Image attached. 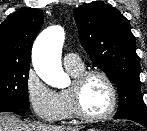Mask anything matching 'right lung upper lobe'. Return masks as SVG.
<instances>
[{
  "instance_id": "right-lung-upper-lobe-1",
  "label": "right lung upper lobe",
  "mask_w": 147,
  "mask_h": 131,
  "mask_svg": "<svg viewBox=\"0 0 147 131\" xmlns=\"http://www.w3.org/2000/svg\"><path fill=\"white\" fill-rule=\"evenodd\" d=\"M43 11L22 8L0 24V63L30 66L32 43L42 27Z\"/></svg>"
}]
</instances>
